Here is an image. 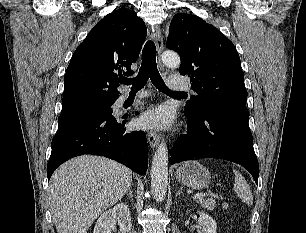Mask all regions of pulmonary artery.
<instances>
[{"mask_svg":"<svg viewBox=\"0 0 306 233\" xmlns=\"http://www.w3.org/2000/svg\"><path fill=\"white\" fill-rule=\"evenodd\" d=\"M169 83V88L173 91H179V92H185L189 90L188 84L186 82L185 79L180 78V77H176V76H171L169 77L168 80ZM146 94H138L136 95V99H142L144 97H146ZM128 95L127 94H122L118 100H117V104L120 105L122 104L125 100H127Z\"/></svg>","mask_w":306,"mask_h":233,"instance_id":"obj_1","label":"pulmonary artery"}]
</instances>
